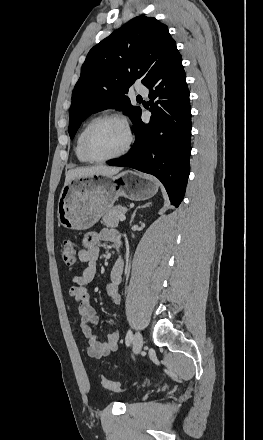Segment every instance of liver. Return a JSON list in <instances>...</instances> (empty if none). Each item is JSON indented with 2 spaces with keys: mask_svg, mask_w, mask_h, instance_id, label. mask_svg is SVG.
I'll use <instances>...</instances> for the list:
<instances>
[{
  "mask_svg": "<svg viewBox=\"0 0 263 440\" xmlns=\"http://www.w3.org/2000/svg\"><path fill=\"white\" fill-rule=\"evenodd\" d=\"M120 170L121 168L119 167H109L106 165L71 169L66 173L65 184L69 183L70 180L74 178L89 177L93 175L111 177L116 175Z\"/></svg>",
  "mask_w": 263,
  "mask_h": 440,
  "instance_id": "liver-1",
  "label": "liver"
}]
</instances>
